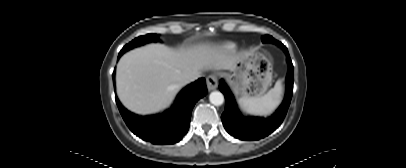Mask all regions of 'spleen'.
<instances>
[{
	"mask_svg": "<svg viewBox=\"0 0 406 168\" xmlns=\"http://www.w3.org/2000/svg\"><path fill=\"white\" fill-rule=\"evenodd\" d=\"M282 98V82L278 80L267 94L261 97H245L239 100L241 108L249 114L268 115L280 104Z\"/></svg>",
	"mask_w": 406,
	"mask_h": 168,
	"instance_id": "3e777b00",
	"label": "spleen"
}]
</instances>
